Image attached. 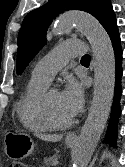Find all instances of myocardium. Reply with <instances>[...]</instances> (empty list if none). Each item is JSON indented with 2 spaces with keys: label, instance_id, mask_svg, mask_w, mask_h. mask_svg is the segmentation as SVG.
Returning <instances> with one entry per match:
<instances>
[{
  "label": "myocardium",
  "instance_id": "obj_1",
  "mask_svg": "<svg viewBox=\"0 0 125 167\" xmlns=\"http://www.w3.org/2000/svg\"><path fill=\"white\" fill-rule=\"evenodd\" d=\"M51 91H46L41 100L40 111L44 122L50 129L63 130L69 128L73 124V118H69L66 121L59 122L53 117L49 106V94Z\"/></svg>",
  "mask_w": 125,
  "mask_h": 167
}]
</instances>
